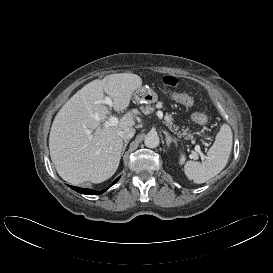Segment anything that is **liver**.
<instances>
[{
    "instance_id": "6515ba94",
    "label": "liver",
    "mask_w": 273,
    "mask_h": 273,
    "mask_svg": "<svg viewBox=\"0 0 273 273\" xmlns=\"http://www.w3.org/2000/svg\"><path fill=\"white\" fill-rule=\"evenodd\" d=\"M142 79L132 73L110 74L77 91L57 113L49 136L50 156L60 177L72 184L101 183L116 172L123 148L119 132L135 125L132 110L116 125L105 126L109 109L106 93L116 111L126 109Z\"/></svg>"
}]
</instances>
